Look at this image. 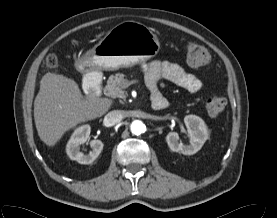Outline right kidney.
Segmentation results:
<instances>
[{
  "mask_svg": "<svg viewBox=\"0 0 277 218\" xmlns=\"http://www.w3.org/2000/svg\"><path fill=\"white\" fill-rule=\"evenodd\" d=\"M90 132L91 127L88 124L82 125L74 130L66 145V152L71 160H75L80 164H91L99 156L104 146L100 140L90 141L92 151L89 154L80 152V145L89 141Z\"/></svg>",
  "mask_w": 277,
  "mask_h": 218,
  "instance_id": "right-kidney-1",
  "label": "right kidney"
}]
</instances>
